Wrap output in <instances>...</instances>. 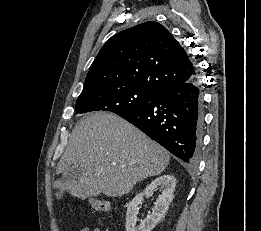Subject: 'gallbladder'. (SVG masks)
Masks as SVG:
<instances>
[{
    "mask_svg": "<svg viewBox=\"0 0 261 231\" xmlns=\"http://www.w3.org/2000/svg\"><path fill=\"white\" fill-rule=\"evenodd\" d=\"M85 173L83 167H75L70 169L66 175H63V180H78ZM62 196V191L56 194V197L60 199Z\"/></svg>",
    "mask_w": 261,
    "mask_h": 231,
    "instance_id": "1",
    "label": "gallbladder"
}]
</instances>
